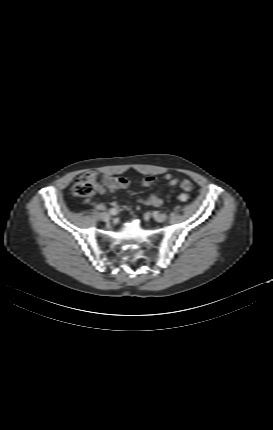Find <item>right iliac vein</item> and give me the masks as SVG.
Wrapping results in <instances>:
<instances>
[{
	"instance_id": "1",
	"label": "right iliac vein",
	"mask_w": 273,
	"mask_h": 430,
	"mask_svg": "<svg viewBox=\"0 0 273 430\" xmlns=\"http://www.w3.org/2000/svg\"><path fill=\"white\" fill-rule=\"evenodd\" d=\"M110 218H111V213H109V212H102V213H100V219L102 221H105V222L109 221Z\"/></svg>"
}]
</instances>
